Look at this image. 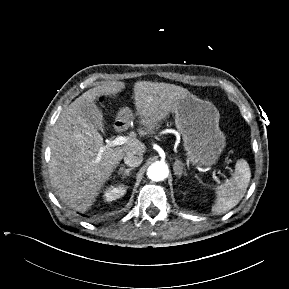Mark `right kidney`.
<instances>
[{"instance_id": "obj_1", "label": "right kidney", "mask_w": 289, "mask_h": 289, "mask_svg": "<svg viewBox=\"0 0 289 289\" xmlns=\"http://www.w3.org/2000/svg\"><path fill=\"white\" fill-rule=\"evenodd\" d=\"M126 193V187L122 184L111 185L104 192V199L108 202L119 199Z\"/></svg>"}]
</instances>
